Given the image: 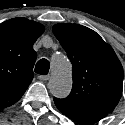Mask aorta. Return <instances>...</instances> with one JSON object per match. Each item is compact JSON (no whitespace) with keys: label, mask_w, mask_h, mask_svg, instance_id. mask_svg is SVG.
Here are the masks:
<instances>
[{"label":"aorta","mask_w":125,"mask_h":125,"mask_svg":"<svg viewBox=\"0 0 125 125\" xmlns=\"http://www.w3.org/2000/svg\"><path fill=\"white\" fill-rule=\"evenodd\" d=\"M71 64L62 54L52 58V76L48 88L52 95L58 98L66 97L72 88Z\"/></svg>","instance_id":"762f6f07"}]
</instances>
